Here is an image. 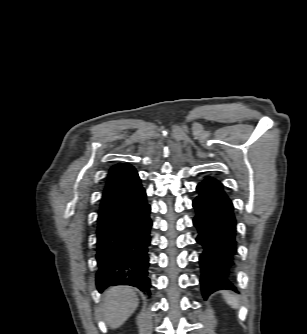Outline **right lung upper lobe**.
Instances as JSON below:
<instances>
[{"mask_svg": "<svg viewBox=\"0 0 307 334\" xmlns=\"http://www.w3.org/2000/svg\"><path fill=\"white\" fill-rule=\"evenodd\" d=\"M135 168L130 164H117L109 170L108 181L103 194L125 183L129 178L136 175Z\"/></svg>", "mask_w": 307, "mask_h": 334, "instance_id": "obj_1", "label": "right lung upper lobe"}]
</instances>
